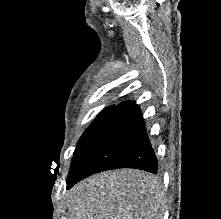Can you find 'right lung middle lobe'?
Instances as JSON below:
<instances>
[{
    "label": "right lung middle lobe",
    "instance_id": "1",
    "mask_svg": "<svg viewBox=\"0 0 221 219\" xmlns=\"http://www.w3.org/2000/svg\"><path fill=\"white\" fill-rule=\"evenodd\" d=\"M115 108V106H110L106 109H104L98 117L92 122V124L89 126V128L84 132V134L81 136L79 143L77 145V148L75 151H77L80 146L87 140V138L90 136V134L95 130V128L101 123V121Z\"/></svg>",
    "mask_w": 221,
    "mask_h": 219
}]
</instances>
